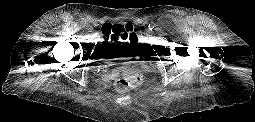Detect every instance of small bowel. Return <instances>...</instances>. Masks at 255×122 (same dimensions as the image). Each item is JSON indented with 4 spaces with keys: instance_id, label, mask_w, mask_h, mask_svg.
<instances>
[{
    "instance_id": "obj_1",
    "label": "small bowel",
    "mask_w": 255,
    "mask_h": 122,
    "mask_svg": "<svg viewBox=\"0 0 255 122\" xmlns=\"http://www.w3.org/2000/svg\"><path fill=\"white\" fill-rule=\"evenodd\" d=\"M105 25H109V23H105L102 26V28ZM129 25H131V24H129ZM102 34L106 37L105 41L102 42L101 45H100V48H101L102 52H105L106 50L110 49L111 46H125L131 40L130 39V40L124 41L120 37H118L116 35H113V34L111 36H106L103 32H102Z\"/></svg>"
}]
</instances>
